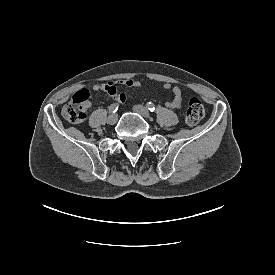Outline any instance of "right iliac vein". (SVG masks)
I'll use <instances>...</instances> for the list:
<instances>
[{
  "instance_id": "right-iliac-vein-1",
  "label": "right iliac vein",
  "mask_w": 275,
  "mask_h": 275,
  "mask_svg": "<svg viewBox=\"0 0 275 275\" xmlns=\"http://www.w3.org/2000/svg\"><path fill=\"white\" fill-rule=\"evenodd\" d=\"M117 114H110L108 119H107V122L109 125H114L116 122H117Z\"/></svg>"
}]
</instances>
